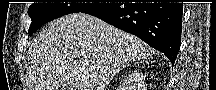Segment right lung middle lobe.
<instances>
[{
    "label": "right lung middle lobe",
    "mask_w": 216,
    "mask_h": 90,
    "mask_svg": "<svg viewBox=\"0 0 216 90\" xmlns=\"http://www.w3.org/2000/svg\"><path fill=\"white\" fill-rule=\"evenodd\" d=\"M105 3H33L28 9V15L32 22L29 28V35L35 33L42 25L56 18L71 13H78L99 6Z\"/></svg>",
    "instance_id": "obj_1"
}]
</instances>
